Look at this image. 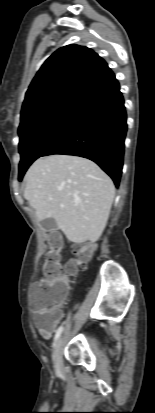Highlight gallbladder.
<instances>
[{"mask_svg":"<svg viewBox=\"0 0 155 413\" xmlns=\"http://www.w3.org/2000/svg\"><path fill=\"white\" fill-rule=\"evenodd\" d=\"M42 225L47 230H52L56 228L57 224L54 220H46L42 222Z\"/></svg>","mask_w":155,"mask_h":413,"instance_id":"1","label":"gallbladder"}]
</instances>
